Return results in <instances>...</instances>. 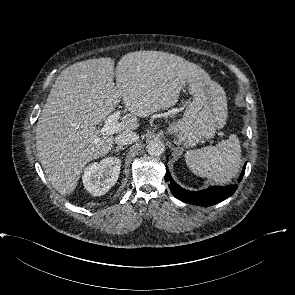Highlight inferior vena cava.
I'll use <instances>...</instances> for the list:
<instances>
[{
    "instance_id": "602c4592",
    "label": "inferior vena cava",
    "mask_w": 295,
    "mask_h": 295,
    "mask_svg": "<svg viewBox=\"0 0 295 295\" xmlns=\"http://www.w3.org/2000/svg\"><path fill=\"white\" fill-rule=\"evenodd\" d=\"M139 139V135L133 131H127L117 135L114 139L118 145H127L136 142Z\"/></svg>"
}]
</instances>
